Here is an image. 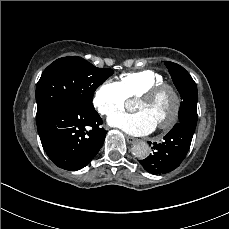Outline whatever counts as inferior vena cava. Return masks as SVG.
<instances>
[{
	"mask_svg": "<svg viewBox=\"0 0 229 229\" xmlns=\"http://www.w3.org/2000/svg\"><path fill=\"white\" fill-rule=\"evenodd\" d=\"M137 146H140V145H134L132 149L135 150V148H138Z\"/></svg>",
	"mask_w": 229,
	"mask_h": 229,
	"instance_id": "inferior-vena-cava-1",
	"label": "inferior vena cava"
}]
</instances>
